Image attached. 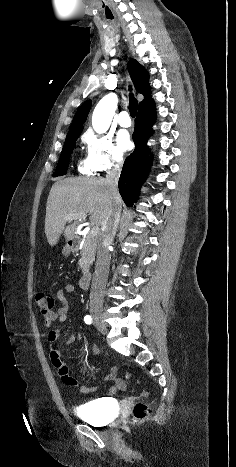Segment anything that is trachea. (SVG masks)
Wrapping results in <instances>:
<instances>
[{
	"mask_svg": "<svg viewBox=\"0 0 236 467\" xmlns=\"http://www.w3.org/2000/svg\"><path fill=\"white\" fill-rule=\"evenodd\" d=\"M129 90L131 91L132 88L130 87ZM137 108H138V101L136 100L134 95L130 93L129 94V112H130L131 117L136 116Z\"/></svg>",
	"mask_w": 236,
	"mask_h": 467,
	"instance_id": "1",
	"label": "trachea"
}]
</instances>
